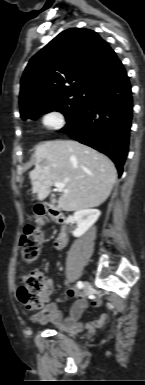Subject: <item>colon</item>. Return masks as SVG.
Returning a JSON list of instances; mask_svg holds the SVG:
<instances>
[{
    "instance_id": "1",
    "label": "colon",
    "mask_w": 145,
    "mask_h": 385,
    "mask_svg": "<svg viewBox=\"0 0 145 385\" xmlns=\"http://www.w3.org/2000/svg\"><path fill=\"white\" fill-rule=\"evenodd\" d=\"M42 232L34 226H29L19 241V252L22 261L33 264L40 253ZM46 290V280L37 271L27 274L23 284L18 289V298L29 309H39L43 305V295Z\"/></svg>"
}]
</instances>
